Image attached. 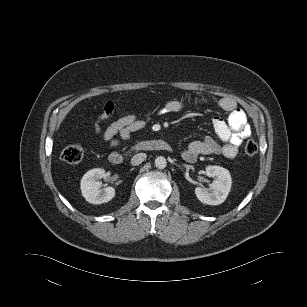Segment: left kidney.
Returning a JSON list of instances; mask_svg holds the SVG:
<instances>
[{"label": "left kidney", "mask_w": 307, "mask_h": 307, "mask_svg": "<svg viewBox=\"0 0 307 307\" xmlns=\"http://www.w3.org/2000/svg\"><path fill=\"white\" fill-rule=\"evenodd\" d=\"M206 175L215 178L211 184L212 190L209 192L203 187H196L197 198L208 205L222 204L226 200L232 185L229 171L220 166L209 165L206 167Z\"/></svg>", "instance_id": "5707ae66"}]
</instances>
